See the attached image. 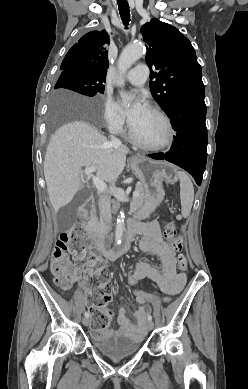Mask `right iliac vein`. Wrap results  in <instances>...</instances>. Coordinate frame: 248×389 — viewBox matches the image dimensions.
<instances>
[{"label": "right iliac vein", "mask_w": 248, "mask_h": 389, "mask_svg": "<svg viewBox=\"0 0 248 389\" xmlns=\"http://www.w3.org/2000/svg\"><path fill=\"white\" fill-rule=\"evenodd\" d=\"M82 323H83V325H84V326H88V325H89V323H90V320H89V318H87V317H84V318H83V320H82Z\"/></svg>", "instance_id": "right-iliac-vein-1"}]
</instances>
